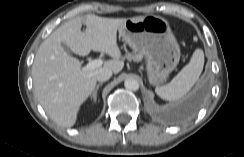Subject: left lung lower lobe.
Masks as SVG:
<instances>
[{"label": "left lung lower lobe", "instance_id": "obj_1", "mask_svg": "<svg viewBox=\"0 0 244 157\" xmlns=\"http://www.w3.org/2000/svg\"><path fill=\"white\" fill-rule=\"evenodd\" d=\"M202 100V92H197L185 99L179 109L178 114L180 117H187L192 115L200 106Z\"/></svg>", "mask_w": 244, "mask_h": 157}]
</instances>
